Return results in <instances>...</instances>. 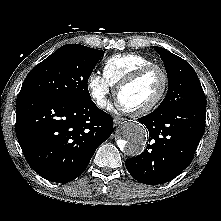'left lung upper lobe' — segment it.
Listing matches in <instances>:
<instances>
[{"label":"left lung upper lobe","mask_w":221,"mask_h":221,"mask_svg":"<svg viewBox=\"0 0 221 221\" xmlns=\"http://www.w3.org/2000/svg\"><path fill=\"white\" fill-rule=\"evenodd\" d=\"M168 76V92L158 109H175L187 105H206V97L192 66L164 48L154 46Z\"/></svg>","instance_id":"5c2ea615"}]
</instances>
